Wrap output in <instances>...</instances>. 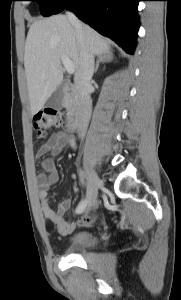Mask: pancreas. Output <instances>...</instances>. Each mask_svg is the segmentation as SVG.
Wrapping results in <instances>:
<instances>
[{
	"instance_id": "cf45deb5",
	"label": "pancreas",
	"mask_w": 181,
	"mask_h": 300,
	"mask_svg": "<svg viewBox=\"0 0 181 300\" xmlns=\"http://www.w3.org/2000/svg\"><path fill=\"white\" fill-rule=\"evenodd\" d=\"M69 106H70V104H69V102H67V103H66V107L69 108Z\"/></svg>"
}]
</instances>
